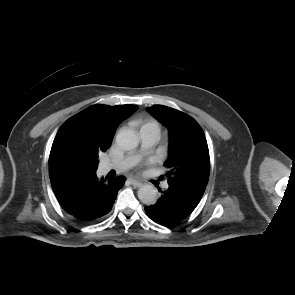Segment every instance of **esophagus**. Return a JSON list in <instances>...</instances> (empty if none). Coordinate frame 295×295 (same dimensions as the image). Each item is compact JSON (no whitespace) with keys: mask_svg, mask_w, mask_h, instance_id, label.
<instances>
[{"mask_svg":"<svg viewBox=\"0 0 295 295\" xmlns=\"http://www.w3.org/2000/svg\"><path fill=\"white\" fill-rule=\"evenodd\" d=\"M131 181V184L134 186V187H140L142 185V182L138 181V180H135V179H130Z\"/></svg>","mask_w":295,"mask_h":295,"instance_id":"obj_1","label":"esophagus"}]
</instances>
